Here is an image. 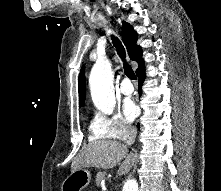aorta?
<instances>
[{
  "instance_id": "obj_1",
  "label": "aorta",
  "mask_w": 221,
  "mask_h": 191,
  "mask_svg": "<svg viewBox=\"0 0 221 191\" xmlns=\"http://www.w3.org/2000/svg\"><path fill=\"white\" fill-rule=\"evenodd\" d=\"M89 85L92 100L100 111L111 114L115 108L116 100L112 83L111 64L106 58H99L94 64ZM122 191H139L135 179L127 180Z\"/></svg>"
}]
</instances>
